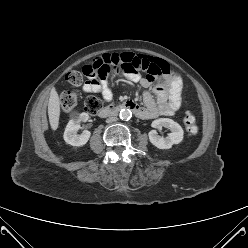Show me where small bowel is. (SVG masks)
I'll return each instance as SVG.
<instances>
[{
    "label": "small bowel",
    "mask_w": 248,
    "mask_h": 248,
    "mask_svg": "<svg viewBox=\"0 0 248 248\" xmlns=\"http://www.w3.org/2000/svg\"><path fill=\"white\" fill-rule=\"evenodd\" d=\"M111 57L118 61L117 70L127 74L131 81L139 83L144 89L145 108L140 109V118L171 116L178 111L182 103L183 83L168 63L159 58L133 52L112 54ZM139 71L146 72L147 76H141ZM150 87H153L154 94L149 91ZM82 90L87 93H100L107 102L113 98L105 76L99 78L90 75L83 83Z\"/></svg>",
    "instance_id": "obj_1"
}]
</instances>
